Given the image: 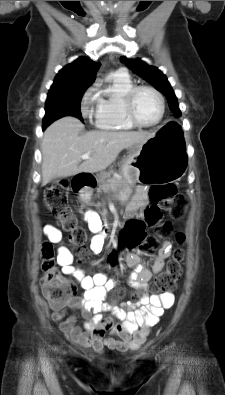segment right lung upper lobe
Segmentation results:
<instances>
[{"instance_id": "cb5924a9", "label": "right lung upper lobe", "mask_w": 225, "mask_h": 395, "mask_svg": "<svg viewBox=\"0 0 225 395\" xmlns=\"http://www.w3.org/2000/svg\"><path fill=\"white\" fill-rule=\"evenodd\" d=\"M99 66L98 62H94L87 57H80L59 71L51 87L88 88L94 82Z\"/></svg>"}]
</instances>
